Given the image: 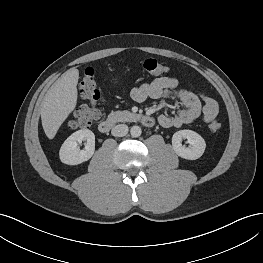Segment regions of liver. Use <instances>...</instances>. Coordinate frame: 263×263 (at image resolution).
Here are the masks:
<instances>
[{
    "instance_id": "obj_1",
    "label": "liver",
    "mask_w": 263,
    "mask_h": 263,
    "mask_svg": "<svg viewBox=\"0 0 263 263\" xmlns=\"http://www.w3.org/2000/svg\"><path fill=\"white\" fill-rule=\"evenodd\" d=\"M79 70H67L47 91L41 104V121L44 132L53 139L60 126L75 109Z\"/></svg>"
}]
</instances>
